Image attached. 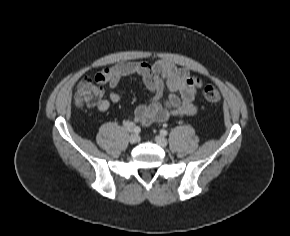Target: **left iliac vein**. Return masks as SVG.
<instances>
[{
	"label": "left iliac vein",
	"instance_id": "left-iliac-vein-1",
	"mask_svg": "<svg viewBox=\"0 0 290 236\" xmlns=\"http://www.w3.org/2000/svg\"><path fill=\"white\" fill-rule=\"evenodd\" d=\"M155 142H156L159 146H161V147H166L167 144H168L167 139H166L164 136H162V135H158V136H156V137H155Z\"/></svg>",
	"mask_w": 290,
	"mask_h": 236
}]
</instances>
